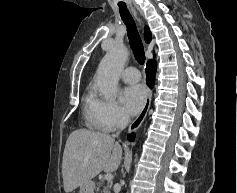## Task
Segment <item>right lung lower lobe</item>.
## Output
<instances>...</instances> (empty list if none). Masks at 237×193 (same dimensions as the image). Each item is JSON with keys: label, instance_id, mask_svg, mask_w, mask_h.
<instances>
[{"label": "right lung lower lobe", "instance_id": "98d812e1", "mask_svg": "<svg viewBox=\"0 0 237 193\" xmlns=\"http://www.w3.org/2000/svg\"><path fill=\"white\" fill-rule=\"evenodd\" d=\"M155 72H156V61L150 60L146 67V73H147L146 81L150 87H153L154 80H155ZM134 138H135L134 133H132L131 135H128V140L130 142L134 141Z\"/></svg>", "mask_w": 237, "mask_h": 193}]
</instances>
